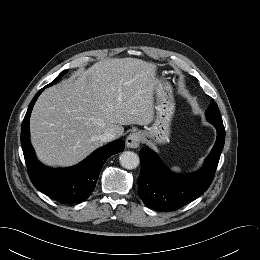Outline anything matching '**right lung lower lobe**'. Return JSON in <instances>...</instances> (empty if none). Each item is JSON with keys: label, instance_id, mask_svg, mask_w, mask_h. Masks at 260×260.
Returning a JSON list of instances; mask_svg holds the SVG:
<instances>
[{"label": "right lung lower lobe", "instance_id": "98d812e1", "mask_svg": "<svg viewBox=\"0 0 260 260\" xmlns=\"http://www.w3.org/2000/svg\"><path fill=\"white\" fill-rule=\"evenodd\" d=\"M42 88L32 99L21 127V145L29 177L33 185L48 197L63 203H79L94 190L100 170L111 155L122 152L123 140L113 141L88 156L84 161L67 169H53L43 165L35 156L30 143L29 118Z\"/></svg>", "mask_w": 260, "mask_h": 260}]
</instances>
